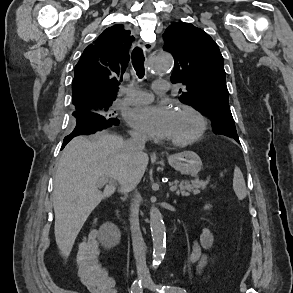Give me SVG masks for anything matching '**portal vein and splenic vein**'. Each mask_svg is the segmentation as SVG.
<instances>
[{
	"mask_svg": "<svg viewBox=\"0 0 293 293\" xmlns=\"http://www.w3.org/2000/svg\"><path fill=\"white\" fill-rule=\"evenodd\" d=\"M101 181L104 182V183L111 182L108 178H105V177L101 178ZM169 190H170L171 192H174L175 190H177V186H171V187L169 188Z\"/></svg>",
	"mask_w": 293,
	"mask_h": 293,
	"instance_id": "obj_1",
	"label": "portal vein and splenic vein"
}]
</instances>
